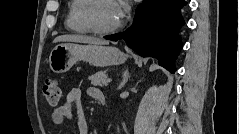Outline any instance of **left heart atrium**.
Masks as SVG:
<instances>
[{
    "instance_id": "left-heart-atrium-1",
    "label": "left heart atrium",
    "mask_w": 239,
    "mask_h": 134,
    "mask_svg": "<svg viewBox=\"0 0 239 134\" xmlns=\"http://www.w3.org/2000/svg\"><path fill=\"white\" fill-rule=\"evenodd\" d=\"M116 7H117L118 16L120 19H122L128 10V6H127L126 2L119 1L116 3Z\"/></svg>"
}]
</instances>
